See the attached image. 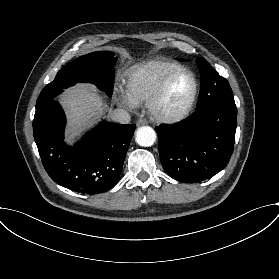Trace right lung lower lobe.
<instances>
[{
	"instance_id": "right-lung-lower-lobe-1",
	"label": "right lung lower lobe",
	"mask_w": 279,
	"mask_h": 279,
	"mask_svg": "<svg viewBox=\"0 0 279 279\" xmlns=\"http://www.w3.org/2000/svg\"><path fill=\"white\" fill-rule=\"evenodd\" d=\"M65 115L54 99L36 107L33 133L43 166L59 185L82 194L111 189L119 179L136 125L102 122L74 146L64 144Z\"/></svg>"
}]
</instances>
